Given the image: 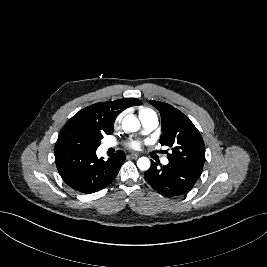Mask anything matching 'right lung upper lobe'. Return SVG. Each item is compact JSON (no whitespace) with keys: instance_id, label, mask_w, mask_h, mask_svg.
Segmentation results:
<instances>
[{"instance_id":"obj_1","label":"right lung upper lobe","mask_w":267,"mask_h":267,"mask_svg":"<svg viewBox=\"0 0 267 267\" xmlns=\"http://www.w3.org/2000/svg\"><path fill=\"white\" fill-rule=\"evenodd\" d=\"M136 98H124L116 101L90 105L76 113L66 125L98 126L105 130H114V121L124 109L139 105Z\"/></svg>"}]
</instances>
